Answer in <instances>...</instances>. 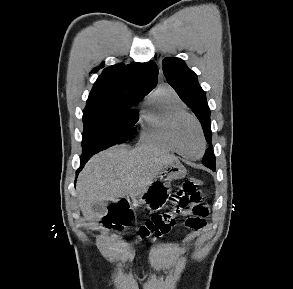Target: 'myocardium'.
I'll return each mask as SVG.
<instances>
[{"instance_id":"1","label":"myocardium","mask_w":293,"mask_h":289,"mask_svg":"<svg viewBox=\"0 0 293 289\" xmlns=\"http://www.w3.org/2000/svg\"><path fill=\"white\" fill-rule=\"evenodd\" d=\"M187 120H191L194 122V124L196 125L199 134H200V138L202 141V148H201V152L198 156L192 157L187 155L186 153H184L179 145V141H178V131L180 128V125L182 123H184ZM169 137H170V141L175 149V151L182 157L186 158V159H190V160H197L199 158H201L204 155V152L206 150V139H205V135H204V131L203 128L201 126V123L199 122V120L192 114L188 113V112H184V113H179L177 114L170 125V132H169Z\"/></svg>"}]
</instances>
